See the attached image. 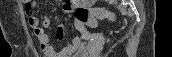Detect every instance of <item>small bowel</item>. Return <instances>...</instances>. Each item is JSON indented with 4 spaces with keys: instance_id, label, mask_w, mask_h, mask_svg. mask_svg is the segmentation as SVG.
<instances>
[{
    "instance_id": "1",
    "label": "small bowel",
    "mask_w": 172,
    "mask_h": 57,
    "mask_svg": "<svg viewBox=\"0 0 172 57\" xmlns=\"http://www.w3.org/2000/svg\"><path fill=\"white\" fill-rule=\"evenodd\" d=\"M76 4V3H74ZM25 10L28 14V24L31 27L33 34L35 35L39 48L45 57H70L76 52H82L85 50V45L79 35L74 36L72 42L63 47L59 52H56L53 46L49 42V36L46 33V29L50 26V19L43 14V11L39 8L35 1H24ZM37 13L43 15L42 21L37 16ZM65 35V26L63 23L59 24L56 29V37L58 40H62Z\"/></svg>"
}]
</instances>
